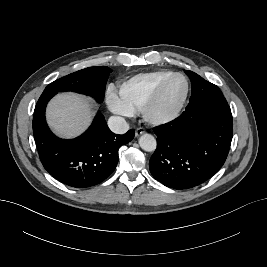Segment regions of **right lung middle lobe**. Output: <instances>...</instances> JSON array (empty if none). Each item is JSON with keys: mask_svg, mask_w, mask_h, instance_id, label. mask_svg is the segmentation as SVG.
Segmentation results:
<instances>
[{"mask_svg": "<svg viewBox=\"0 0 267 267\" xmlns=\"http://www.w3.org/2000/svg\"><path fill=\"white\" fill-rule=\"evenodd\" d=\"M111 72L112 70L106 66L85 68L50 83L44 93L73 91L90 95L101 103L104 99L108 75Z\"/></svg>", "mask_w": 267, "mask_h": 267, "instance_id": "1", "label": "right lung middle lobe"}]
</instances>
